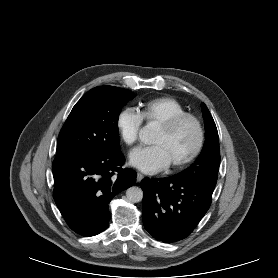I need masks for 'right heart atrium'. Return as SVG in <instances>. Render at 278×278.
<instances>
[{
    "label": "right heart atrium",
    "mask_w": 278,
    "mask_h": 278,
    "mask_svg": "<svg viewBox=\"0 0 278 278\" xmlns=\"http://www.w3.org/2000/svg\"><path fill=\"white\" fill-rule=\"evenodd\" d=\"M142 122L139 112L134 108L126 107L118 113L116 127L125 144L133 145L137 141Z\"/></svg>",
    "instance_id": "obj_1"
}]
</instances>
